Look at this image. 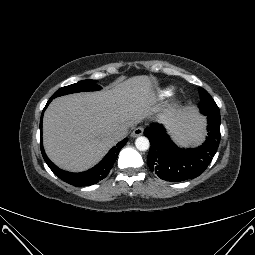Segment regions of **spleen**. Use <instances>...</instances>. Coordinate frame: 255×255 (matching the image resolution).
I'll list each match as a JSON object with an SVG mask.
<instances>
[{
	"mask_svg": "<svg viewBox=\"0 0 255 255\" xmlns=\"http://www.w3.org/2000/svg\"><path fill=\"white\" fill-rule=\"evenodd\" d=\"M204 136V124L203 119L201 118V121L199 124L193 127V129L184 137L180 139V142L184 145L192 144V143H198L202 140Z\"/></svg>",
	"mask_w": 255,
	"mask_h": 255,
	"instance_id": "spleen-1",
	"label": "spleen"
}]
</instances>
